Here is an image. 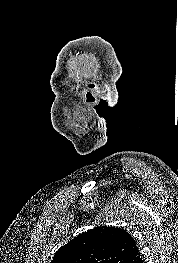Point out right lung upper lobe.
Segmentation results:
<instances>
[{"mask_svg": "<svg viewBox=\"0 0 178 263\" xmlns=\"http://www.w3.org/2000/svg\"><path fill=\"white\" fill-rule=\"evenodd\" d=\"M50 263H143V259L129 232L101 226L60 247Z\"/></svg>", "mask_w": 178, "mask_h": 263, "instance_id": "cb5924a9", "label": "right lung upper lobe"}]
</instances>
